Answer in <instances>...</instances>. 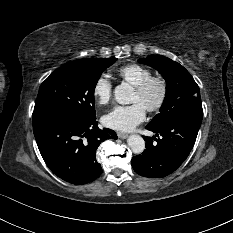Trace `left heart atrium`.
Returning a JSON list of instances; mask_svg holds the SVG:
<instances>
[{
	"mask_svg": "<svg viewBox=\"0 0 233 233\" xmlns=\"http://www.w3.org/2000/svg\"><path fill=\"white\" fill-rule=\"evenodd\" d=\"M145 119V108L138 102L128 106H116L103 118L104 124L112 129L128 132Z\"/></svg>",
	"mask_w": 233,
	"mask_h": 233,
	"instance_id": "1",
	"label": "left heart atrium"
}]
</instances>
